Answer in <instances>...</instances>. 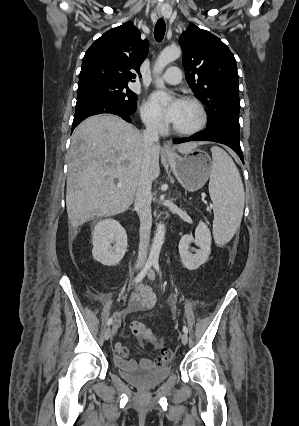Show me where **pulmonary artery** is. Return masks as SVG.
Masks as SVG:
<instances>
[{
	"instance_id": "obj_1",
	"label": "pulmonary artery",
	"mask_w": 299,
	"mask_h": 426,
	"mask_svg": "<svg viewBox=\"0 0 299 426\" xmlns=\"http://www.w3.org/2000/svg\"><path fill=\"white\" fill-rule=\"evenodd\" d=\"M161 79L169 84H178L181 82L182 79L181 70L178 67H169L162 75Z\"/></svg>"
}]
</instances>
